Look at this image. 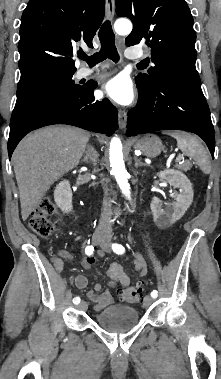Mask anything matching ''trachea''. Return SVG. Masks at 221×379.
I'll use <instances>...</instances> for the list:
<instances>
[{
  "label": "trachea",
  "mask_w": 221,
  "mask_h": 379,
  "mask_svg": "<svg viewBox=\"0 0 221 379\" xmlns=\"http://www.w3.org/2000/svg\"><path fill=\"white\" fill-rule=\"evenodd\" d=\"M98 35L101 42L100 51L90 57H88L85 53H82L79 55V58L85 60L89 65H95L107 58L113 60L114 62H118L119 54L115 46V35L113 33L110 21H105L103 23Z\"/></svg>",
  "instance_id": "trachea-1"
}]
</instances>
